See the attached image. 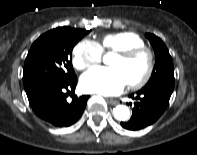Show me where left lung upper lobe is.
<instances>
[{"instance_id": "1", "label": "left lung upper lobe", "mask_w": 197, "mask_h": 155, "mask_svg": "<svg viewBox=\"0 0 197 155\" xmlns=\"http://www.w3.org/2000/svg\"><path fill=\"white\" fill-rule=\"evenodd\" d=\"M154 52L156 63L152 75L143 90H161L172 94L174 88V66L169 51L163 41L154 34L147 33Z\"/></svg>"}]
</instances>
